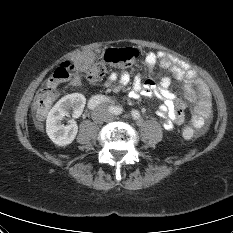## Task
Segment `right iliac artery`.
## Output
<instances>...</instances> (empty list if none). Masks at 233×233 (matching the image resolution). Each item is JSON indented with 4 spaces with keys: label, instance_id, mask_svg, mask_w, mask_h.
<instances>
[{
    "label": "right iliac artery",
    "instance_id": "obj_1",
    "mask_svg": "<svg viewBox=\"0 0 233 233\" xmlns=\"http://www.w3.org/2000/svg\"><path fill=\"white\" fill-rule=\"evenodd\" d=\"M105 102H109V98H107L104 95H96L93 96L92 98H90V100L88 101V108L93 110L94 108H96L98 105L105 103Z\"/></svg>",
    "mask_w": 233,
    "mask_h": 233
}]
</instances>
